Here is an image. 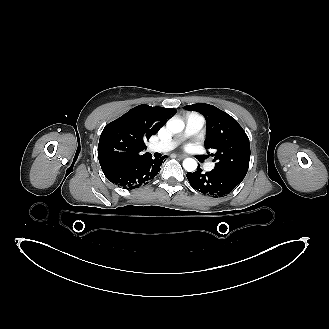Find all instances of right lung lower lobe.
I'll use <instances>...</instances> for the list:
<instances>
[{
	"mask_svg": "<svg viewBox=\"0 0 329 329\" xmlns=\"http://www.w3.org/2000/svg\"><path fill=\"white\" fill-rule=\"evenodd\" d=\"M166 157L152 159V156L149 155L135 161L129 166L104 174L110 182L119 187L135 189L148 184L157 175Z\"/></svg>",
	"mask_w": 329,
	"mask_h": 329,
	"instance_id": "obj_1",
	"label": "right lung lower lobe"
}]
</instances>
